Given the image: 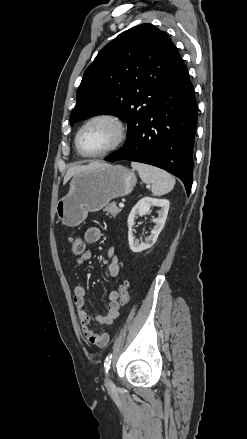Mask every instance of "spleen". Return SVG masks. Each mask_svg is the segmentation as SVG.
I'll list each match as a JSON object with an SVG mask.
<instances>
[{
	"label": "spleen",
	"instance_id": "obj_1",
	"mask_svg": "<svg viewBox=\"0 0 247 439\" xmlns=\"http://www.w3.org/2000/svg\"><path fill=\"white\" fill-rule=\"evenodd\" d=\"M131 166L138 171L144 183L152 185L151 191L154 196H162L174 188L175 179L168 172L139 162H131Z\"/></svg>",
	"mask_w": 247,
	"mask_h": 439
}]
</instances>
